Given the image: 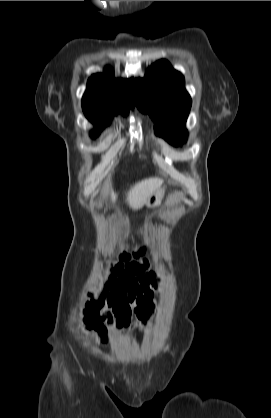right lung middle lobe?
Instances as JSON below:
<instances>
[{"label":"right lung middle lobe","mask_w":271,"mask_h":418,"mask_svg":"<svg viewBox=\"0 0 271 418\" xmlns=\"http://www.w3.org/2000/svg\"><path fill=\"white\" fill-rule=\"evenodd\" d=\"M86 117L97 127L98 130L102 129L105 124L110 123V116H104V115H96L91 113L84 112ZM98 131L93 132V136H97Z\"/></svg>","instance_id":"right-lung-middle-lobe-1"}]
</instances>
